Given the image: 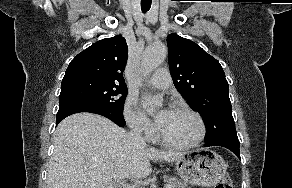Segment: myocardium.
Instances as JSON below:
<instances>
[{
  "instance_id": "obj_1",
  "label": "myocardium",
  "mask_w": 292,
  "mask_h": 188,
  "mask_svg": "<svg viewBox=\"0 0 292 188\" xmlns=\"http://www.w3.org/2000/svg\"><path fill=\"white\" fill-rule=\"evenodd\" d=\"M170 109L184 111V112H187V113L191 114L192 116H194L198 122V125H199V133H198L197 137L189 143H174V142L166 139L160 133L158 126H156V128H155L156 139L163 146L168 147V148H172V149H190V148H194V147L198 146L205 139L206 133H207L206 123H205L202 115L186 104H174L171 106Z\"/></svg>"
}]
</instances>
